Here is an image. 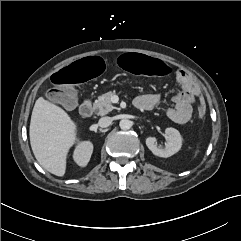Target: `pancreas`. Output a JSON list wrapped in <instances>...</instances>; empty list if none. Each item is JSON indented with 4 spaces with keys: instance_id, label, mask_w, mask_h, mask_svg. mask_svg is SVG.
Returning a JSON list of instances; mask_svg holds the SVG:
<instances>
[{
    "instance_id": "pancreas-1",
    "label": "pancreas",
    "mask_w": 241,
    "mask_h": 241,
    "mask_svg": "<svg viewBox=\"0 0 241 241\" xmlns=\"http://www.w3.org/2000/svg\"><path fill=\"white\" fill-rule=\"evenodd\" d=\"M116 95L115 91H109L105 94H102L98 97L97 100L93 103V108L98 115H105L111 112L114 109L112 105L111 98Z\"/></svg>"
}]
</instances>
